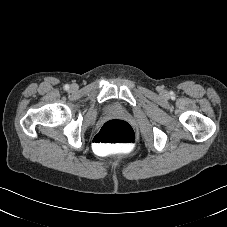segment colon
I'll list each match as a JSON object with an SVG mask.
<instances>
[{"mask_svg": "<svg viewBox=\"0 0 227 227\" xmlns=\"http://www.w3.org/2000/svg\"><path fill=\"white\" fill-rule=\"evenodd\" d=\"M134 142V132L132 127L119 120L106 122L95 136L97 146L105 144L131 145Z\"/></svg>", "mask_w": 227, "mask_h": 227, "instance_id": "obj_1", "label": "colon"}]
</instances>
